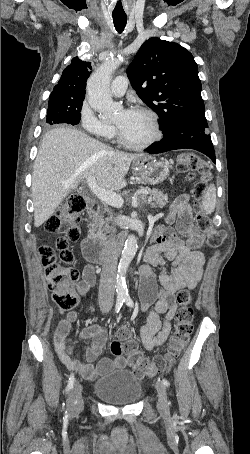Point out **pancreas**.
Segmentation results:
<instances>
[{"label": "pancreas", "mask_w": 250, "mask_h": 454, "mask_svg": "<svg viewBox=\"0 0 250 454\" xmlns=\"http://www.w3.org/2000/svg\"><path fill=\"white\" fill-rule=\"evenodd\" d=\"M144 190H146L153 197L152 202H150L152 208H156L157 206L163 208L168 203V197L161 191H158L156 189L151 190L148 188H145ZM98 209V212L92 216L93 221L90 224V227L92 228V231L95 232L93 237L104 242L106 240V233L109 232L108 222L112 218H104V214L108 210L106 205H104L102 210H100V207Z\"/></svg>", "instance_id": "obj_1"}]
</instances>
